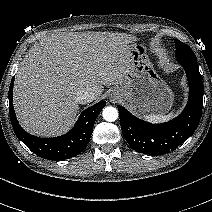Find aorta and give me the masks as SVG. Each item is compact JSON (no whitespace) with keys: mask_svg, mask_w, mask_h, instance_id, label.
<instances>
[{"mask_svg":"<svg viewBox=\"0 0 212 212\" xmlns=\"http://www.w3.org/2000/svg\"><path fill=\"white\" fill-rule=\"evenodd\" d=\"M102 116L104 120L108 122H114L118 119V110L113 106H107L102 111Z\"/></svg>","mask_w":212,"mask_h":212,"instance_id":"obj_1","label":"aorta"}]
</instances>
